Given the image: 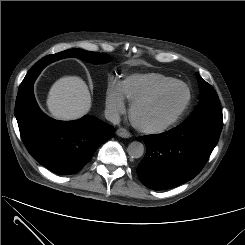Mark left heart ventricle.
Returning a JSON list of instances; mask_svg holds the SVG:
<instances>
[{"label": "left heart ventricle", "instance_id": "left-heart-ventricle-1", "mask_svg": "<svg viewBox=\"0 0 245 245\" xmlns=\"http://www.w3.org/2000/svg\"><path fill=\"white\" fill-rule=\"evenodd\" d=\"M187 91L183 86L176 85L156 100L149 102L138 110V119L149 126L161 125L172 119L183 106Z\"/></svg>", "mask_w": 245, "mask_h": 245}]
</instances>
